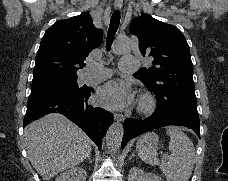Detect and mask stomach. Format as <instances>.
<instances>
[{
  "instance_id": "obj_1",
  "label": "stomach",
  "mask_w": 228,
  "mask_h": 181,
  "mask_svg": "<svg viewBox=\"0 0 228 181\" xmlns=\"http://www.w3.org/2000/svg\"><path fill=\"white\" fill-rule=\"evenodd\" d=\"M143 139V143L144 145H146V147H157L158 143H159V137H157V135H155V133H147V135H144V137H142Z\"/></svg>"
}]
</instances>
